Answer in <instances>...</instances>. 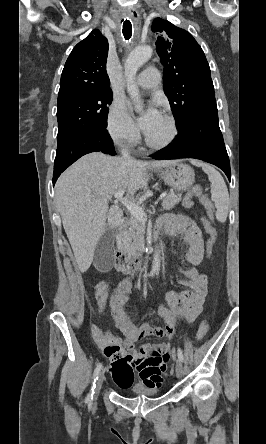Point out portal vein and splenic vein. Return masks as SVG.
<instances>
[{
	"instance_id": "portal-vein-and-splenic-vein-1",
	"label": "portal vein and splenic vein",
	"mask_w": 266,
	"mask_h": 444,
	"mask_svg": "<svg viewBox=\"0 0 266 444\" xmlns=\"http://www.w3.org/2000/svg\"><path fill=\"white\" fill-rule=\"evenodd\" d=\"M123 195H124V190H120L114 194V197L117 201H120L124 206H126L132 215H134L139 219L145 220L147 218V214L144 212V210L133 201L123 197ZM165 196L166 193H162L159 197V200L163 199ZM155 204H157V202Z\"/></svg>"
}]
</instances>
